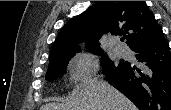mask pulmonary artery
<instances>
[{
  "instance_id": "1",
  "label": "pulmonary artery",
  "mask_w": 171,
  "mask_h": 110,
  "mask_svg": "<svg viewBox=\"0 0 171 110\" xmlns=\"http://www.w3.org/2000/svg\"><path fill=\"white\" fill-rule=\"evenodd\" d=\"M116 53H117L118 56H123L124 55V50L116 49Z\"/></svg>"
}]
</instances>
